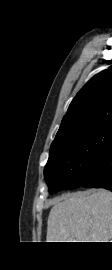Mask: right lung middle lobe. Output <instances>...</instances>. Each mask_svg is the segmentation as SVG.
<instances>
[{
    "mask_svg": "<svg viewBox=\"0 0 112 270\" xmlns=\"http://www.w3.org/2000/svg\"><path fill=\"white\" fill-rule=\"evenodd\" d=\"M112 144V122L100 124L50 148L44 168L49 192L81 186L90 164Z\"/></svg>",
    "mask_w": 112,
    "mask_h": 270,
    "instance_id": "right-lung-middle-lobe-1",
    "label": "right lung middle lobe"
}]
</instances>
